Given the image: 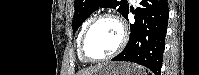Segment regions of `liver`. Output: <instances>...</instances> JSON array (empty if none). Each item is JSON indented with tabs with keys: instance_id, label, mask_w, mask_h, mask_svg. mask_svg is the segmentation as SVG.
Returning <instances> with one entry per match:
<instances>
[{
	"instance_id": "obj_1",
	"label": "liver",
	"mask_w": 199,
	"mask_h": 75,
	"mask_svg": "<svg viewBox=\"0 0 199 75\" xmlns=\"http://www.w3.org/2000/svg\"><path fill=\"white\" fill-rule=\"evenodd\" d=\"M96 70H97V68H93L90 70H84V71L79 72L78 75H92Z\"/></svg>"
}]
</instances>
